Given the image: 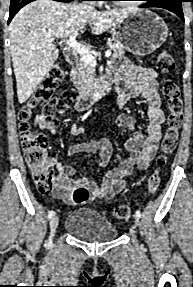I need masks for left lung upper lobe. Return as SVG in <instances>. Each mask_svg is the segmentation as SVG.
Instances as JSON below:
<instances>
[{
  "label": "left lung upper lobe",
  "mask_w": 193,
  "mask_h": 287,
  "mask_svg": "<svg viewBox=\"0 0 193 287\" xmlns=\"http://www.w3.org/2000/svg\"><path fill=\"white\" fill-rule=\"evenodd\" d=\"M144 1H153V0H144Z\"/></svg>",
  "instance_id": "1"
}]
</instances>
